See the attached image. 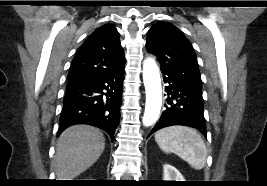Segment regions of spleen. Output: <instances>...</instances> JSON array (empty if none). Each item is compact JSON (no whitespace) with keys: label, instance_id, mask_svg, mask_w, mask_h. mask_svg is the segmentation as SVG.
<instances>
[{"label":"spleen","instance_id":"obj_1","mask_svg":"<svg viewBox=\"0 0 267 186\" xmlns=\"http://www.w3.org/2000/svg\"><path fill=\"white\" fill-rule=\"evenodd\" d=\"M155 141L166 153H175L193 169L200 170L205 166L207 150L197 131L185 126H171L159 130Z\"/></svg>","mask_w":267,"mask_h":186}]
</instances>
